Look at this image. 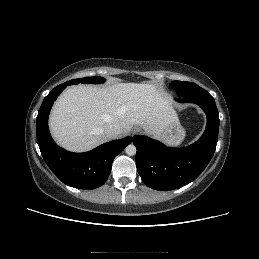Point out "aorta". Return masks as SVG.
Instances as JSON below:
<instances>
[{
  "label": "aorta",
  "mask_w": 259,
  "mask_h": 259,
  "mask_svg": "<svg viewBox=\"0 0 259 259\" xmlns=\"http://www.w3.org/2000/svg\"><path fill=\"white\" fill-rule=\"evenodd\" d=\"M125 152H126V154L129 155V156L135 155V154H136V147H135V145H133V144L128 145V146L125 148Z\"/></svg>",
  "instance_id": "762f6f07"
}]
</instances>
